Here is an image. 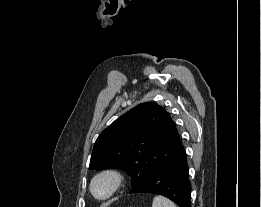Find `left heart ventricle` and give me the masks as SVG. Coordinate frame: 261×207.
<instances>
[{"mask_svg": "<svg viewBox=\"0 0 261 207\" xmlns=\"http://www.w3.org/2000/svg\"><path fill=\"white\" fill-rule=\"evenodd\" d=\"M94 191L98 196H103L108 191V183L104 180L98 181L94 186Z\"/></svg>", "mask_w": 261, "mask_h": 207, "instance_id": "left-heart-ventricle-1", "label": "left heart ventricle"}]
</instances>
